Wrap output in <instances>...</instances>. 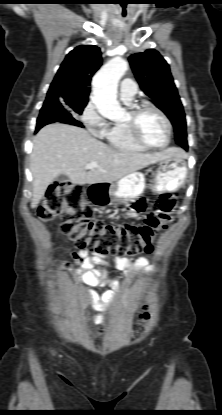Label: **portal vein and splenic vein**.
Segmentation results:
<instances>
[{"label": "portal vein and splenic vein", "instance_id": "portal-vein-and-splenic-vein-1", "mask_svg": "<svg viewBox=\"0 0 222 415\" xmlns=\"http://www.w3.org/2000/svg\"><path fill=\"white\" fill-rule=\"evenodd\" d=\"M96 167H99V166H98V163H96V162H91V163H88V164L85 166V169H92V168H96Z\"/></svg>", "mask_w": 222, "mask_h": 415}]
</instances>
